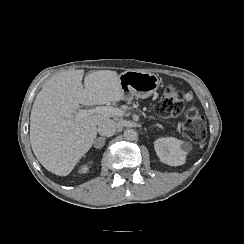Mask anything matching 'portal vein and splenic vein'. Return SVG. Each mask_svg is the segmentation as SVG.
<instances>
[{"label":"portal vein and splenic vein","instance_id":"portal-vein-and-splenic-vein-1","mask_svg":"<svg viewBox=\"0 0 244 244\" xmlns=\"http://www.w3.org/2000/svg\"><path fill=\"white\" fill-rule=\"evenodd\" d=\"M75 121L78 122L80 118L90 116L93 114H108L110 116H121L124 111L120 108H113L110 106H96L90 109H76Z\"/></svg>","mask_w":244,"mask_h":244}]
</instances>
